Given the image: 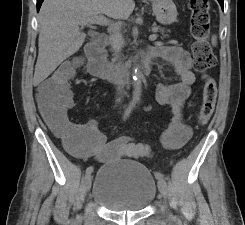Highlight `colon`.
<instances>
[{
	"mask_svg": "<svg viewBox=\"0 0 245 225\" xmlns=\"http://www.w3.org/2000/svg\"><path fill=\"white\" fill-rule=\"evenodd\" d=\"M191 24L190 30L194 38L192 51L194 55L195 68L202 74L203 96L202 105L197 116V121L201 125L208 123L214 114L217 86L209 71L216 67V55L210 45V4L208 0H190ZM71 77L66 71L54 73L48 80L40 86L46 107L58 111L62 107V102L70 94ZM59 134L66 148L74 146V134L76 129L71 126H60Z\"/></svg>",
	"mask_w": 245,
	"mask_h": 225,
	"instance_id": "colon-1",
	"label": "colon"
}]
</instances>
